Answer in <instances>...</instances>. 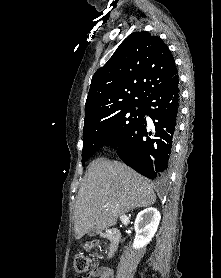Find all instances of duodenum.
Here are the masks:
<instances>
[{
	"label": "duodenum",
	"instance_id": "410a0bca",
	"mask_svg": "<svg viewBox=\"0 0 221 278\" xmlns=\"http://www.w3.org/2000/svg\"><path fill=\"white\" fill-rule=\"evenodd\" d=\"M102 235L110 241V247L107 253V258H111L117 250L120 240V233L117 229L110 228L104 231Z\"/></svg>",
	"mask_w": 221,
	"mask_h": 278
}]
</instances>
